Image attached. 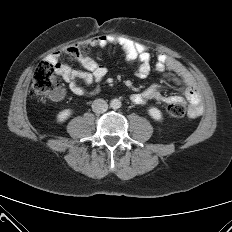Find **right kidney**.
I'll use <instances>...</instances> for the list:
<instances>
[{"instance_id": "obj_1", "label": "right kidney", "mask_w": 232, "mask_h": 232, "mask_svg": "<svg viewBox=\"0 0 232 232\" xmlns=\"http://www.w3.org/2000/svg\"><path fill=\"white\" fill-rule=\"evenodd\" d=\"M72 115V111L70 109H65L57 115V122H64Z\"/></svg>"}]
</instances>
